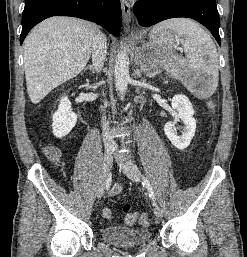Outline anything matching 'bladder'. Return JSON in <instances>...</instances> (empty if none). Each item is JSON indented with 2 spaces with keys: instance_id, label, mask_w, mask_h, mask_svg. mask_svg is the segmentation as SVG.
Instances as JSON below:
<instances>
[{
  "instance_id": "1",
  "label": "bladder",
  "mask_w": 247,
  "mask_h": 257,
  "mask_svg": "<svg viewBox=\"0 0 247 257\" xmlns=\"http://www.w3.org/2000/svg\"><path fill=\"white\" fill-rule=\"evenodd\" d=\"M101 237L104 241L117 246H137L149 242L152 233L149 229L107 226L101 230Z\"/></svg>"
}]
</instances>
